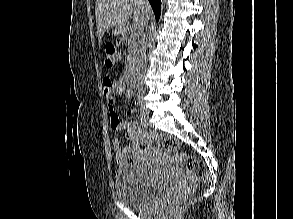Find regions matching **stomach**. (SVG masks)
Listing matches in <instances>:
<instances>
[{
  "label": "stomach",
  "mask_w": 293,
  "mask_h": 219,
  "mask_svg": "<svg viewBox=\"0 0 293 219\" xmlns=\"http://www.w3.org/2000/svg\"><path fill=\"white\" fill-rule=\"evenodd\" d=\"M123 32H124V28L119 27V26H116V27L112 30V34H113L114 36L121 35V34H123Z\"/></svg>",
  "instance_id": "stomach-1"
}]
</instances>
